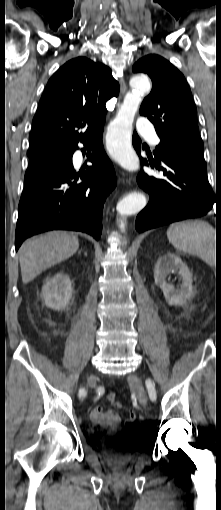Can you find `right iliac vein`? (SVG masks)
Returning a JSON list of instances; mask_svg holds the SVG:
<instances>
[{
  "label": "right iliac vein",
  "mask_w": 221,
  "mask_h": 510,
  "mask_svg": "<svg viewBox=\"0 0 221 510\" xmlns=\"http://www.w3.org/2000/svg\"><path fill=\"white\" fill-rule=\"evenodd\" d=\"M94 382H95L94 376H93V375H91V376L89 377V380H88L89 386H90V387H93Z\"/></svg>",
  "instance_id": "obj_1"
}]
</instances>
